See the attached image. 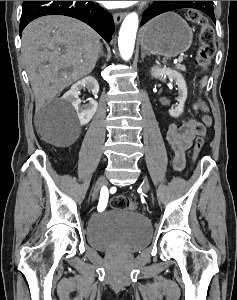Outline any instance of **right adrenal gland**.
<instances>
[{
	"label": "right adrenal gland",
	"instance_id": "right-adrenal-gland-1",
	"mask_svg": "<svg viewBox=\"0 0 237 300\" xmlns=\"http://www.w3.org/2000/svg\"><path fill=\"white\" fill-rule=\"evenodd\" d=\"M99 57H104V53H103V47H102V45H100V53H99V55H98L97 59H99Z\"/></svg>",
	"mask_w": 237,
	"mask_h": 300
}]
</instances>
